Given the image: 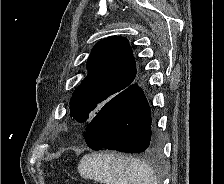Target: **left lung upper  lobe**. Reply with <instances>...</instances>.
I'll return each mask as SVG.
<instances>
[{
    "label": "left lung upper lobe",
    "mask_w": 224,
    "mask_h": 184,
    "mask_svg": "<svg viewBox=\"0 0 224 184\" xmlns=\"http://www.w3.org/2000/svg\"><path fill=\"white\" fill-rule=\"evenodd\" d=\"M88 75L70 101V116L90 121L115 95L132 85L136 64L126 38L110 36L99 41L87 61Z\"/></svg>",
    "instance_id": "1"
}]
</instances>
